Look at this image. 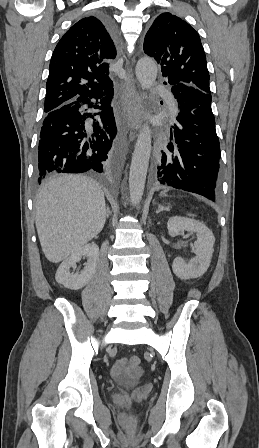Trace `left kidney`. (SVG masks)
<instances>
[{
  "label": "left kidney",
  "mask_w": 259,
  "mask_h": 448,
  "mask_svg": "<svg viewBox=\"0 0 259 448\" xmlns=\"http://www.w3.org/2000/svg\"><path fill=\"white\" fill-rule=\"evenodd\" d=\"M167 228L169 236L175 238L181 232H195L198 240L195 242L194 246L196 248V258L191 260L189 264H186L185 260L182 258H175L172 264V270L175 276H178L180 280H190V278H201L205 272H207L213 250V244H215V238L202 222H197V220H190V218H179V216H174V218H169L167 222Z\"/></svg>",
  "instance_id": "5707ae66"
}]
</instances>
